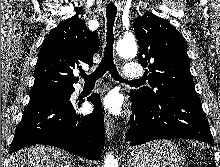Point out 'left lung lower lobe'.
Wrapping results in <instances>:
<instances>
[{
	"label": "left lung lower lobe",
	"mask_w": 220,
	"mask_h": 167,
	"mask_svg": "<svg viewBox=\"0 0 220 167\" xmlns=\"http://www.w3.org/2000/svg\"><path fill=\"white\" fill-rule=\"evenodd\" d=\"M130 95L133 115L129 123L134 125L127 131L130 146L169 138L195 139L214 145L198 95L172 90L153 101H144L133 92Z\"/></svg>",
	"instance_id": "obj_1"
}]
</instances>
